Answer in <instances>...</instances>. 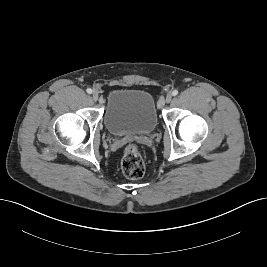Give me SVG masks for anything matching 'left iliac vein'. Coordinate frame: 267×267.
Returning a JSON list of instances; mask_svg holds the SVG:
<instances>
[{
	"label": "left iliac vein",
	"instance_id": "obj_1",
	"mask_svg": "<svg viewBox=\"0 0 267 267\" xmlns=\"http://www.w3.org/2000/svg\"><path fill=\"white\" fill-rule=\"evenodd\" d=\"M171 100H172V95L169 93L167 94L165 101L166 103H169Z\"/></svg>",
	"mask_w": 267,
	"mask_h": 267
}]
</instances>
